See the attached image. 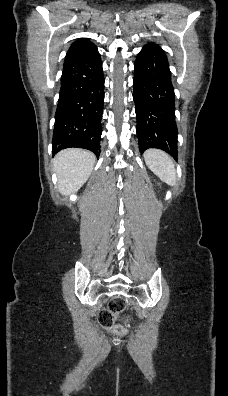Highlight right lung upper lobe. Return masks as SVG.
Masks as SVG:
<instances>
[{
  "mask_svg": "<svg viewBox=\"0 0 228 396\" xmlns=\"http://www.w3.org/2000/svg\"><path fill=\"white\" fill-rule=\"evenodd\" d=\"M94 44L92 42H90L89 40L86 39H79L75 42H73V44L71 45V47L69 48V51L67 53L66 56L71 55L73 53H76L78 51H81L85 48H88L90 46H93Z\"/></svg>",
  "mask_w": 228,
  "mask_h": 396,
  "instance_id": "right-lung-upper-lobe-1",
  "label": "right lung upper lobe"
}]
</instances>
